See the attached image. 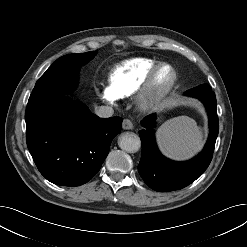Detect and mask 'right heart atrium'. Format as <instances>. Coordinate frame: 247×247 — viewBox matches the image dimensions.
Masks as SVG:
<instances>
[{"instance_id": "d8ad5b80", "label": "right heart atrium", "mask_w": 247, "mask_h": 247, "mask_svg": "<svg viewBox=\"0 0 247 247\" xmlns=\"http://www.w3.org/2000/svg\"><path fill=\"white\" fill-rule=\"evenodd\" d=\"M102 98L109 104L115 105L118 102L119 97H117L111 87H104L101 92Z\"/></svg>"}]
</instances>
